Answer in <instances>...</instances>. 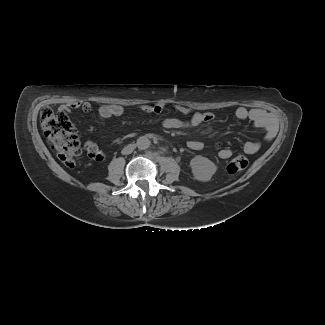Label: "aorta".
Listing matches in <instances>:
<instances>
[{
  "label": "aorta",
  "instance_id": "obj_1",
  "mask_svg": "<svg viewBox=\"0 0 325 325\" xmlns=\"http://www.w3.org/2000/svg\"><path fill=\"white\" fill-rule=\"evenodd\" d=\"M136 145H137L138 149L146 150L150 147L151 142L147 137L142 136L137 139Z\"/></svg>",
  "mask_w": 325,
  "mask_h": 325
}]
</instances>
